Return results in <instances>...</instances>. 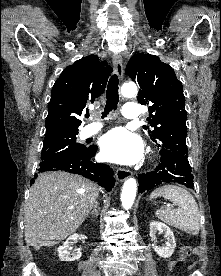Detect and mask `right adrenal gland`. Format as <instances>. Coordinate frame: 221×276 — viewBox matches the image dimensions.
Here are the masks:
<instances>
[{
  "label": "right adrenal gland",
  "instance_id": "right-adrenal-gland-1",
  "mask_svg": "<svg viewBox=\"0 0 221 276\" xmlns=\"http://www.w3.org/2000/svg\"><path fill=\"white\" fill-rule=\"evenodd\" d=\"M98 214H99V208L97 203H95V205L93 206V210L87 215V217H90V215L92 217H98Z\"/></svg>",
  "mask_w": 221,
  "mask_h": 276
}]
</instances>
